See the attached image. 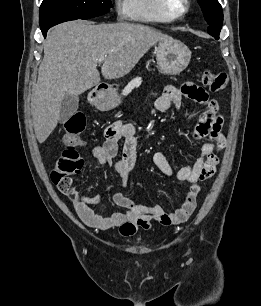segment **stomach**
I'll return each instance as SVG.
<instances>
[{"label":"stomach","mask_w":261,"mask_h":306,"mask_svg":"<svg viewBox=\"0 0 261 306\" xmlns=\"http://www.w3.org/2000/svg\"><path fill=\"white\" fill-rule=\"evenodd\" d=\"M191 51L182 42L174 39L160 41L156 47L157 67L166 75H178L189 64ZM94 105L100 110H110L117 107L121 101L116 89H109L105 93H98L92 99Z\"/></svg>","instance_id":"1"}]
</instances>
